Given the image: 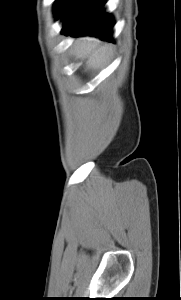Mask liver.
<instances>
[{"label":"liver","instance_id":"obj_1","mask_svg":"<svg viewBox=\"0 0 181 300\" xmlns=\"http://www.w3.org/2000/svg\"><path fill=\"white\" fill-rule=\"evenodd\" d=\"M75 55L86 61L87 69L96 70L106 63L110 49L98 39L84 37L75 41Z\"/></svg>","mask_w":181,"mask_h":300}]
</instances>
